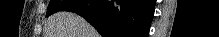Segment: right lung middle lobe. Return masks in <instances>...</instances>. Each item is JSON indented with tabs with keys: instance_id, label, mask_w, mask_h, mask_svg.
I'll return each instance as SVG.
<instances>
[{
	"instance_id": "1",
	"label": "right lung middle lobe",
	"mask_w": 219,
	"mask_h": 37,
	"mask_svg": "<svg viewBox=\"0 0 219 37\" xmlns=\"http://www.w3.org/2000/svg\"><path fill=\"white\" fill-rule=\"evenodd\" d=\"M71 2L73 1L72 0H51L49 7L47 9L46 16L48 17L56 12L62 11L63 8Z\"/></svg>"
}]
</instances>
